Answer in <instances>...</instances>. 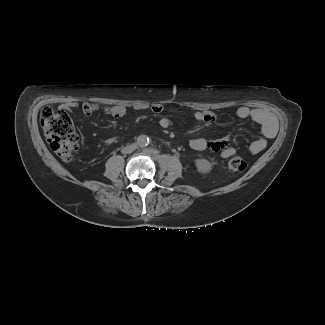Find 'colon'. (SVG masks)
<instances>
[{
  "label": "colon",
  "mask_w": 325,
  "mask_h": 325,
  "mask_svg": "<svg viewBox=\"0 0 325 325\" xmlns=\"http://www.w3.org/2000/svg\"><path fill=\"white\" fill-rule=\"evenodd\" d=\"M41 126L51 149L64 161H69L78 149V136L75 130L66 126L58 112L45 106L40 111ZM247 163L241 157H233L227 163L231 173L242 172Z\"/></svg>",
  "instance_id": "colon-1"
}]
</instances>
